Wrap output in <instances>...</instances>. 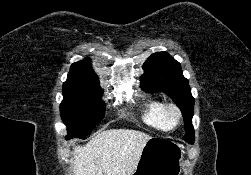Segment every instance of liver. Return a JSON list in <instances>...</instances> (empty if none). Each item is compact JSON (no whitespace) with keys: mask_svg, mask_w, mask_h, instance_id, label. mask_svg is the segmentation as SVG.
Returning <instances> with one entry per match:
<instances>
[{"mask_svg":"<svg viewBox=\"0 0 251 175\" xmlns=\"http://www.w3.org/2000/svg\"><path fill=\"white\" fill-rule=\"evenodd\" d=\"M151 135L136 129H106L73 147L75 175H131Z\"/></svg>","mask_w":251,"mask_h":175,"instance_id":"6515ba94","label":"liver"}]
</instances>
